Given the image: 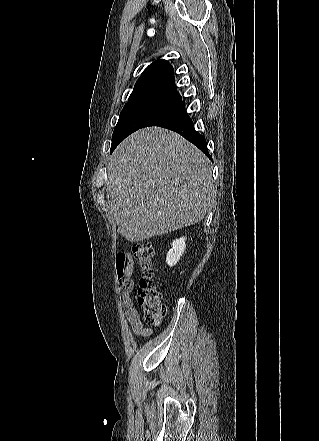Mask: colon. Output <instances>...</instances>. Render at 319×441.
Here are the masks:
<instances>
[{
	"label": "colon",
	"mask_w": 319,
	"mask_h": 441,
	"mask_svg": "<svg viewBox=\"0 0 319 441\" xmlns=\"http://www.w3.org/2000/svg\"><path fill=\"white\" fill-rule=\"evenodd\" d=\"M132 254L141 269L137 286L138 303L147 324L157 326L166 313V304L162 293L154 281V248L149 242L133 245ZM120 287L124 283V269L117 265Z\"/></svg>",
	"instance_id": "1"
}]
</instances>
